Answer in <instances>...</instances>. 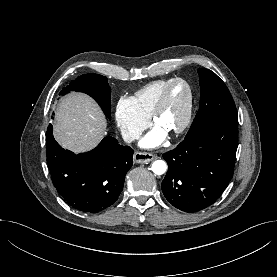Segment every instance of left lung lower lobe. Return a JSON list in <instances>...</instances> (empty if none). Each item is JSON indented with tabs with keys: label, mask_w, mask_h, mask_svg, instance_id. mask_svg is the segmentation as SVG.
<instances>
[{
	"label": "left lung lower lobe",
	"mask_w": 277,
	"mask_h": 277,
	"mask_svg": "<svg viewBox=\"0 0 277 277\" xmlns=\"http://www.w3.org/2000/svg\"><path fill=\"white\" fill-rule=\"evenodd\" d=\"M237 146V128L215 125L163 154L168 172L162 191L168 202L187 213L214 203L233 176Z\"/></svg>",
	"instance_id": "obj_1"
}]
</instances>
